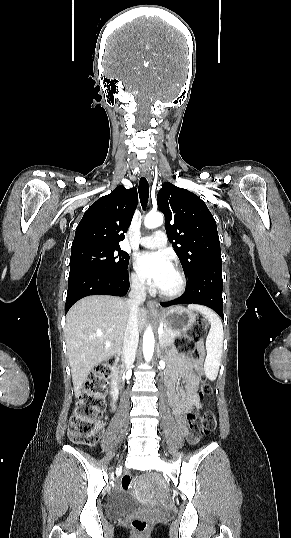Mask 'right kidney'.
Returning a JSON list of instances; mask_svg holds the SVG:
<instances>
[{
  "instance_id": "1",
  "label": "right kidney",
  "mask_w": 291,
  "mask_h": 538,
  "mask_svg": "<svg viewBox=\"0 0 291 538\" xmlns=\"http://www.w3.org/2000/svg\"><path fill=\"white\" fill-rule=\"evenodd\" d=\"M116 380V381H115ZM115 380H113L112 384H113V391H112V395L114 397V399H116L118 397V394H119V389H118V379L116 378Z\"/></svg>"
}]
</instances>
